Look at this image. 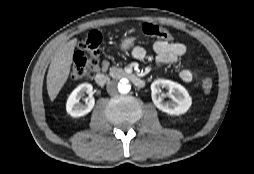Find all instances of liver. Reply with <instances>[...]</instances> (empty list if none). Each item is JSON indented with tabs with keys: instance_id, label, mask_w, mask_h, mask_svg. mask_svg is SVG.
I'll return each instance as SVG.
<instances>
[{
	"instance_id": "liver-1",
	"label": "liver",
	"mask_w": 254,
	"mask_h": 174,
	"mask_svg": "<svg viewBox=\"0 0 254 174\" xmlns=\"http://www.w3.org/2000/svg\"><path fill=\"white\" fill-rule=\"evenodd\" d=\"M76 44L75 38L62 45L51 61L47 74V91L51 101L55 100L69 77Z\"/></svg>"
}]
</instances>
